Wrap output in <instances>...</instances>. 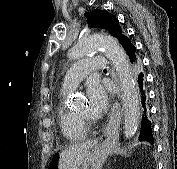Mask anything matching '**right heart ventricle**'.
I'll use <instances>...</instances> for the list:
<instances>
[{
    "label": "right heart ventricle",
    "mask_w": 177,
    "mask_h": 169,
    "mask_svg": "<svg viewBox=\"0 0 177 169\" xmlns=\"http://www.w3.org/2000/svg\"><path fill=\"white\" fill-rule=\"evenodd\" d=\"M70 90H62V96L65 97ZM58 121L60 131L65 139L69 141H78L86 138L88 129L79 120L76 113L68 109L63 102L58 107Z\"/></svg>",
    "instance_id": "right-heart-ventricle-1"
}]
</instances>
